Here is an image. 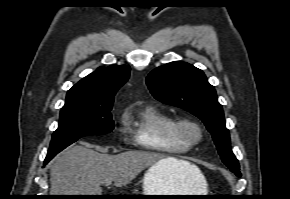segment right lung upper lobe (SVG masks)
Masks as SVG:
<instances>
[{
    "label": "right lung upper lobe",
    "mask_w": 290,
    "mask_h": 199,
    "mask_svg": "<svg viewBox=\"0 0 290 199\" xmlns=\"http://www.w3.org/2000/svg\"><path fill=\"white\" fill-rule=\"evenodd\" d=\"M129 74L130 68L126 65L99 67L67 92L62 108L112 107L116 91L128 80Z\"/></svg>",
    "instance_id": "1"
}]
</instances>
